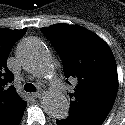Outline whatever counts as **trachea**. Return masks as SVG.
I'll return each mask as SVG.
<instances>
[{
    "mask_svg": "<svg viewBox=\"0 0 125 125\" xmlns=\"http://www.w3.org/2000/svg\"><path fill=\"white\" fill-rule=\"evenodd\" d=\"M24 90L26 92H35L36 91V87L33 84H31V83H27L24 86Z\"/></svg>",
    "mask_w": 125,
    "mask_h": 125,
    "instance_id": "3493384b",
    "label": "trachea"
}]
</instances>
